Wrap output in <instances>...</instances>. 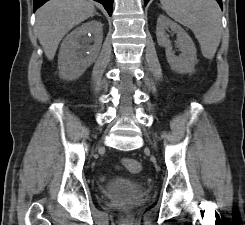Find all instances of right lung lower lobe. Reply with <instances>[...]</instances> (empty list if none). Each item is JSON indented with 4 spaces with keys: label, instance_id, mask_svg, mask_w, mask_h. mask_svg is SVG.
<instances>
[{
    "label": "right lung lower lobe",
    "instance_id": "1",
    "mask_svg": "<svg viewBox=\"0 0 245 225\" xmlns=\"http://www.w3.org/2000/svg\"><path fill=\"white\" fill-rule=\"evenodd\" d=\"M46 1H48V0H34V12H35V10L38 7H40ZM95 1L103 4L104 7H105V9L107 10V12L109 13V15L111 16V14H112L113 0H95Z\"/></svg>",
    "mask_w": 245,
    "mask_h": 225
}]
</instances>
